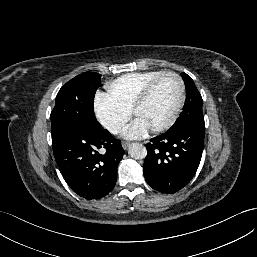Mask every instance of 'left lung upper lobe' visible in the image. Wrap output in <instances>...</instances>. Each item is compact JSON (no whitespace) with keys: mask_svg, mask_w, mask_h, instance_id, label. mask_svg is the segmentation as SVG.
<instances>
[{"mask_svg":"<svg viewBox=\"0 0 257 257\" xmlns=\"http://www.w3.org/2000/svg\"><path fill=\"white\" fill-rule=\"evenodd\" d=\"M182 78L186 86V102L177 121L168 131H173L189 125L204 126L202 97L191 77L186 73H182Z\"/></svg>","mask_w":257,"mask_h":257,"instance_id":"obj_1","label":"left lung upper lobe"}]
</instances>
